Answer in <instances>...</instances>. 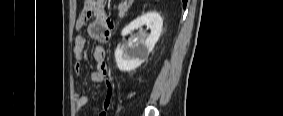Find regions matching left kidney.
Here are the masks:
<instances>
[{
  "label": "left kidney",
  "mask_w": 283,
  "mask_h": 116,
  "mask_svg": "<svg viewBox=\"0 0 283 116\" xmlns=\"http://www.w3.org/2000/svg\"><path fill=\"white\" fill-rule=\"evenodd\" d=\"M143 25H147L151 29V33L147 37L139 36L127 46H121V44L117 46L115 60L120 71H132L148 58L160 37L163 20L156 11L147 12L124 27L121 35L126 36Z\"/></svg>",
  "instance_id": "obj_1"
}]
</instances>
